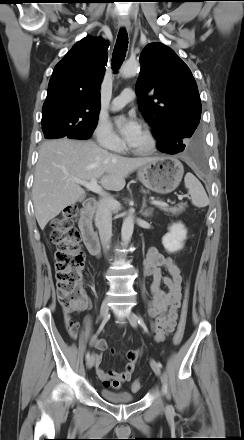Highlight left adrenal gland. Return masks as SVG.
<instances>
[{"label":"left adrenal gland","mask_w":244,"mask_h":440,"mask_svg":"<svg viewBox=\"0 0 244 440\" xmlns=\"http://www.w3.org/2000/svg\"><path fill=\"white\" fill-rule=\"evenodd\" d=\"M146 208V202H145V199H144V201H143V204H142V208H141V214H142V216L143 217H145V218H147V217H151L152 216V214H153V208H147V209H145Z\"/></svg>","instance_id":"a2214340"}]
</instances>
